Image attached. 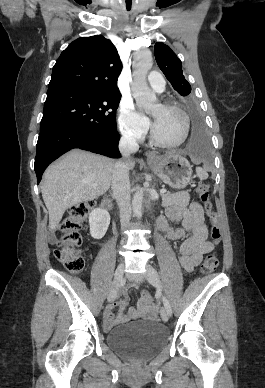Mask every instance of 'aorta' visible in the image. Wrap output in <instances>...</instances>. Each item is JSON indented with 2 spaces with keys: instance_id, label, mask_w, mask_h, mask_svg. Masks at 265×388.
<instances>
[{
  "instance_id": "1",
  "label": "aorta",
  "mask_w": 265,
  "mask_h": 388,
  "mask_svg": "<svg viewBox=\"0 0 265 388\" xmlns=\"http://www.w3.org/2000/svg\"><path fill=\"white\" fill-rule=\"evenodd\" d=\"M152 54L148 50L139 51L133 64L132 92L137 104L143 108H149L156 101L155 93L149 88L146 76L152 67ZM143 191L137 190L133 196L132 208L137 218L142 217Z\"/></svg>"
}]
</instances>
